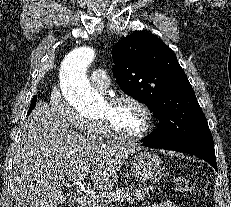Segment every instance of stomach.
I'll return each mask as SVG.
<instances>
[{
    "instance_id": "0dacf381",
    "label": "stomach",
    "mask_w": 231,
    "mask_h": 207,
    "mask_svg": "<svg viewBox=\"0 0 231 207\" xmlns=\"http://www.w3.org/2000/svg\"><path fill=\"white\" fill-rule=\"evenodd\" d=\"M165 165L161 158L150 151H137L131 156V172L143 183H155L164 176Z\"/></svg>"
}]
</instances>
